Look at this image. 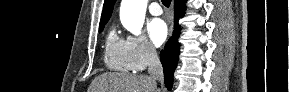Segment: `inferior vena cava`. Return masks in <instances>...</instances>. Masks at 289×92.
I'll return each instance as SVG.
<instances>
[{
    "mask_svg": "<svg viewBox=\"0 0 289 92\" xmlns=\"http://www.w3.org/2000/svg\"><path fill=\"white\" fill-rule=\"evenodd\" d=\"M148 54V73L153 80L163 82V68L155 48L152 45L147 46Z\"/></svg>",
    "mask_w": 289,
    "mask_h": 92,
    "instance_id": "602c4592",
    "label": "inferior vena cava"
}]
</instances>
